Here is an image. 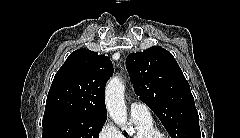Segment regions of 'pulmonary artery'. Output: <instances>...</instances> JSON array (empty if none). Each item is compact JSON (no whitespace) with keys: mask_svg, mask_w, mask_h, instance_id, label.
I'll use <instances>...</instances> for the list:
<instances>
[{"mask_svg":"<svg viewBox=\"0 0 240 138\" xmlns=\"http://www.w3.org/2000/svg\"><path fill=\"white\" fill-rule=\"evenodd\" d=\"M130 113L132 117H150L148 106L139 101H134L131 103Z\"/></svg>","mask_w":240,"mask_h":138,"instance_id":"1","label":"pulmonary artery"}]
</instances>
